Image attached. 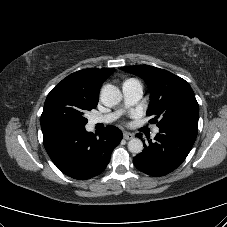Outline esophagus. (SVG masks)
<instances>
[{"label": "esophagus", "mask_w": 227, "mask_h": 227, "mask_svg": "<svg viewBox=\"0 0 227 227\" xmlns=\"http://www.w3.org/2000/svg\"><path fill=\"white\" fill-rule=\"evenodd\" d=\"M123 137H124L125 140H130L134 137V135L132 133H129V132H124Z\"/></svg>", "instance_id": "obj_1"}]
</instances>
